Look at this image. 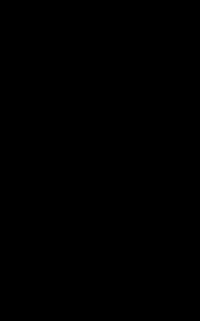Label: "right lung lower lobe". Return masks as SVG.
Masks as SVG:
<instances>
[{
  "mask_svg": "<svg viewBox=\"0 0 200 321\" xmlns=\"http://www.w3.org/2000/svg\"><path fill=\"white\" fill-rule=\"evenodd\" d=\"M85 195L76 188L38 179L21 195V204L28 219L47 232H59L72 226L78 219Z\"/></svg>",
  "mask_w": 200,
  "mask_h": 321,
  "instance_id": "98d812e1",
  "label": "right lung lower lobe"
}]
</instances>
